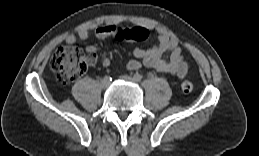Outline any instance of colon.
I'll return each instance as SVG.
<instances>
[{"mask_svg": "<svg viewBox=\"0 0 259 156\" xmlns=\"http://www.w3.org/2000/svg\"><path fill=\"white\" fill-rule=\"evenodd\" d=\"M148 32L142 27L124 29L114 36L117 40L143 41ZM50 67L61 84H69L79 78L87 68V58L79 46H62L52 56ZM181 90L188 94L193 90V84L188 79L181 83Z\"/></svg>", "mask_w": 259, "mask_h": 156, "instance_id": "1", "label": "colon"}]
</instances>
